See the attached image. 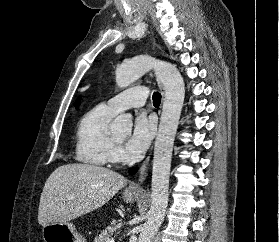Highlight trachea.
I'll list each match as a JSON object with an SVG mask.
<instances>
[{"label":"trachea","instance_id":"trachea-1","mask_svg":"<svg viewBox=\"0 0 279 242\" xmlns=\"http://www.w3.org/2000/svg\"><path fill=\"white\" fill-rule=\"evenodd\" d=\"M153 104L154 105H160L161 102V94L159 92H154L153 94Z\"/></svg>","mask_w":279,"mask_h":242}]
</instances>
